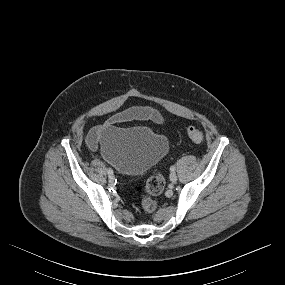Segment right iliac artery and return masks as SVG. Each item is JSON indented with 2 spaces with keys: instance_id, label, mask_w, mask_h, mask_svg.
<instances>
[{
  "instance_id": "1",
  "label": "right iliac artery",
  "mask_w": 285,
  "mask_h": 285,
  "mask_svg": "<svg viewBox=\"0 0 285 285\" xmlns=\"http://www.w3.org/2000/svg\"><path fill=\"white\" fill-rule=\"evenodd\" d=\"M107 173H108L109 175H113V170L110 169V168H108V169H107Z\"/></svg>"
}]
</instances>
